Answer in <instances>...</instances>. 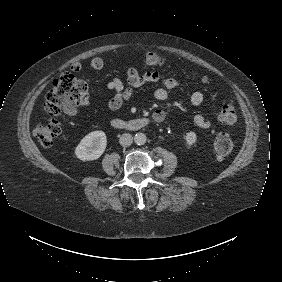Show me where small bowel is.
I'll use <instances>...</instances> for the list:
<instances>
[{"label":"small bowel","instance_id":"1","mask_svg":"<svg viewBox=\"0 0 282 282\" xmlns=\"http://www.w3.org/2000/svg\"><path fill=\"white\" fill-rule=\"evenodd\" d=\"M103 67L104 60L101 57H94L90 61V68L93 70H100ZM81 68L82 65L79 62H75L71 66V70L73 72H78ZM147 83H160V86L155 89L153 94L154 98L159 102H166L170 100V90H174L179 87V83L175 79L163 77L158 72H146L144 74H140L136 69L132 68L128 71L126 85L119 77H115L108 83V89L113 93V95L106 103L107 108L113 111L120 109L125 102L133 96L136 89ZM202 101L203 94L199 91H194L187 97V103L191 106H198L202 103ZM65 110L70 116L76 114V109L74 107H70ZM158 112L162 111H156L153 116H157ZM194 123L202 131L208 130L211 126L210 120L202 114L194 116Z\"/></svg>","mask_w":282,"mask_h":282}]
</instances>
